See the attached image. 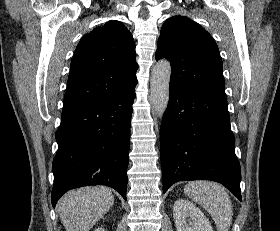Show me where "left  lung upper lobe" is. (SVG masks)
<instances>
[{"mask_svg":"<svg viewBox=\"0 0 280 231\" xmlns=\"http://www.w3.org/2000/svg\"><path fill=\"white\" fill-rule=\"evenodd\" d=\"M156 60H169L170 85L225 95L222 60L211 35L184 16L167 19L157 43Z\"/></svg>","mask_w":280,"mask_h":231,"instance_id":"left-lung-upper-lobe-1","label":"left lung upper lobe"}]
</instances>
